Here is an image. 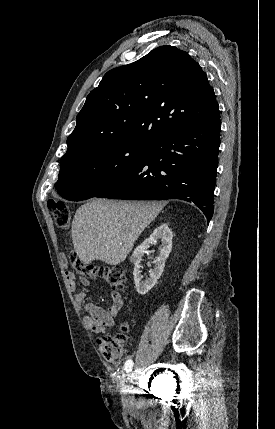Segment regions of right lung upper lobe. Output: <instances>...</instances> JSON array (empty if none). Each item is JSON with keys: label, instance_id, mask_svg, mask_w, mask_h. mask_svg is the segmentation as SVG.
<instances>
[{"label": "right lung upper lobe", "instance_id": "cb5924a9", "mask_svg": "<svg viewBox=\"0 0 275 429\" xmlns=\"http://www.w3.org/2000/svg\"><path fill=\"white\" fill-rule=\"evenodd\" d=\"M219 116L206 74L187 52L160 46L108 71L87 96L60 163L117 144L149 145Z\"/></svg>", "mask_w": 275, "mask_h": 429}]
</instances>
